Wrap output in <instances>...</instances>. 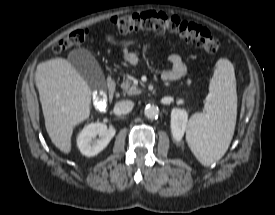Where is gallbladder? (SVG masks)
I'll use <instances>...</instances> for the list:
<instances>
[{"label": "gallbladder", "instance_id": "gallbladder-1", "mask_svg": "<svg viewBox=\"0 0 275 215\" xmlns=\"http://www.w3.org/2000/svg\"><path fill=\"white\" fill-rule=\"evenodd\" d=\"M68 61L86 80L91 90H103L106 86L100 65L93 54L85 48L74 49L68 54Z\"/></svg>", "mask_w": 275, "mask_h": 215}]
</instances>
